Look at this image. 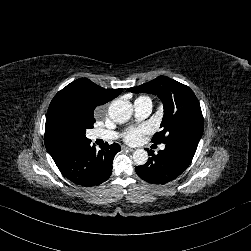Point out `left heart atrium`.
<instances>
[{
  "label": "left heart atrium",
  "mask_w": 251,
  "mask_h": 251,
  "mask_svg": "<svg viewBox=\"0 0 251 251\" xmlns=\"http://www.w3.org/2000/svg\"><path fill=\"white\" fill-rule=\"evenodd\" d=\"M151 131L149 125H142L139 127H129L123 131V140L127 143L140 141L143 136Z\"/></svg>",
  "instance_id": "obj_1"
}]
</instances>
